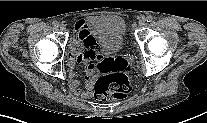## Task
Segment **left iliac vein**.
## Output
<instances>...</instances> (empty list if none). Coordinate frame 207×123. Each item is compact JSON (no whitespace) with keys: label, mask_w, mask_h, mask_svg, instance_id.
Masks as SVG:
<instances>
[{"label":"left iliac vein","mask_w":207,"mask_h":123,"mask_svg":"<svg viewBox=\"0 0 207 123\" xmlns=\"http://www.w3.org/2000/svg\"><path fill=\"white\" fill-rule=\"evenodd\" d=\"M146 25V19L142 18L140 21H139V26L140 27H143Z\"/></svg>","instance_id":"1"}]
</instances>
